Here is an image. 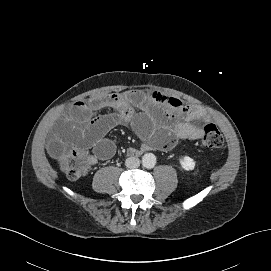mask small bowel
Instances as JSON below:
<instances>
[{
	"label": "small bowel",
	"instance_id": "small-bowel-1",
	"mask_svg": "<svg viewBox=\"0 0 271 271\" xmlns=\"http://www.w3.org/2000/svg\"><path fill=\"white\" fill-rule=\"evenodd\" d=\"M104 108L113 112L95 115ZM135 108L141 113L136 114ZM205 117V111L196 105H183L175 97L146 89L94 95L88 101L75 102L69 114L55 123L49 149L54 156L67 146L91 149L93 160H107L115 154L116 146L106 134L131 124L152 147L169 150L180 140H201L202 129L193 121Z\"/></svg>",
	"mask_w": 271,
	"mask_h": 271
}]
</instances>
